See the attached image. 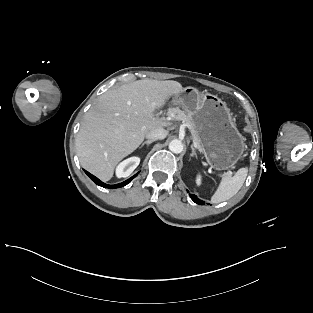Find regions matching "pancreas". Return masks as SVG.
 I'll return each mask as SVG.
<instances>
[{
  "label": "pancreas",
  "mask_w": 313,
  "mask_h": 313,
  "mask_svg": "<svg viewBox=\"0 0 313 313\" xmlns=\"http://www.w3.org/2000/svg\"><path fill=\"white\" fill-rule=\"evenodd\" d=\"M172 117L176 121H182V123H184L189 128L194 142L198 146L199 150L202 151V148H201L200 142H199V137H198L197 132L195 130L194 122H193L192 118L189 115H187L184 111H181V110H177L172 115Z\"/></svg>",
  "instance_id": "1"
}]
</instances>
